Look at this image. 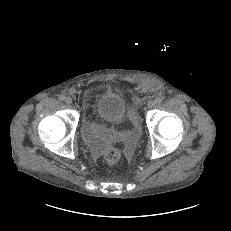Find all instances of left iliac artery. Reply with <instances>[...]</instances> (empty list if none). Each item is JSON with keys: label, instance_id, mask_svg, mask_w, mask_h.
Listing matches in <instances>:
<instances>
[{"label": "left iliac artery", "instance_id": "1", "mask_svg": "<svg viewBox=\"0 0 231 231\" xmlns=\"http://www.w3.org/2000/svg\"><path fill=\"white\" fill-rule=\"evenodd\" d=\"M154 101L156 104H160L162 102V99L158 97Z\"/></svg>", "mask_w": 231, "mask_h": 231}]
</instances>
